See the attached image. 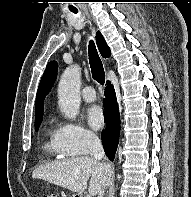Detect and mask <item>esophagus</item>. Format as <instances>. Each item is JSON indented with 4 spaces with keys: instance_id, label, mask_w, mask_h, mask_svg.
I'll list each match as a JSON object with an SVG mask.
<instances>
[{
    "instance_id": "34e87169",
    "label": "esophagus",
    "mask_w": 191,
    "mask_h": 197,
    "mask_svg": "<svg viewBox=\"0 0 191 197\" xmlns=\"http://www.w3.org/2000/svg\"><path fill=\"white\" fill-rule=\"evenodd\" d=\"M107 78L109 79V74L107 73Z\"/></svg>"
}]
</instances>
